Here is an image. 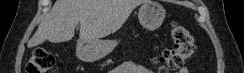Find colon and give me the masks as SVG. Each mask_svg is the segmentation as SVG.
<instances>
[{
  "label": "colon",
  "instance_id": "1",
  "mask_svg": "<svg viewBox=\"0 0 244 73\" xmlns=\"http://www.w3.org/2000/svg\"><path fill=\"white\" fill-rule=\"evenodd\" d=\"M173 47L164 49L154 62L160 73L175 72L194 54L196 46L194 37L183 25L173 23L171 26ZM55 66V58L44 49H34L30 56L25 73H51Z\"/></svg>",
  "mask_w": 244,
  "mask_h": 73
}]
</instances>
